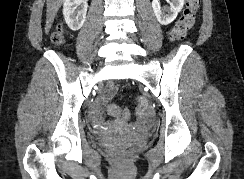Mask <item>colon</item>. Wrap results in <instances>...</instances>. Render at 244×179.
Instances as JSON below:
<instances>
[{
    "instance_id": "1",
    "label": "colon",
    "mask_w": 244,
    "mask_h": 179,
    "mask_svg": "<svg viewBox=\"0 0 244 179\" xmlns=\"http://www.w3.org/2000/svg\"><path fill=\"white\" fill-rule=\"evenodd\" d=\"M199 8V0H189L186 8L171 31V37L175 41H180L187 37L188 33L195 25V16ZM64 32L65 29L63 26L59 25L52 36L54 44L62 45L64 43ZM138 102L137 110H151V103L148 98H139ZM107 109H116L117 114L115 111H106V116H115V119H119V123H130L131 112L128 107H122V104H107Z\"/></svg>"
}]
</instances>
